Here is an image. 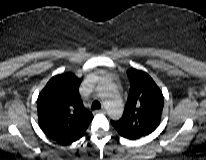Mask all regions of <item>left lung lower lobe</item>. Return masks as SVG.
Masks as SVG:
<instances>
[{"label":"left lung lower lobe","instance_id":"1","mask_svg":"<svg viewBox=\"0 0 206 160\" xmlns=\"http://www.w3.org/2000/svg\"><path fill=\"white\" fill-rule=\"evenodd\" d=\"M125 138H126V137H125ZM128 139L135 140V139H133V138H128Z\"/></svg>","mask_w":206,"mask_h":160}]
</instances>
